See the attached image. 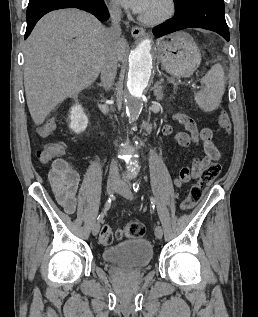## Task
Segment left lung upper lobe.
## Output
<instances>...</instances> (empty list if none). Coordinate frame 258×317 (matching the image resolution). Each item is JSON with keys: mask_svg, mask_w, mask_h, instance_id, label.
<instances>
[{"mask_svg": "<svg viewBox=\"0 0 258 317\" xmlns=\"http://www.w3.org/2000/svg\"><path fill=\"white\" fill-rule=\"evenodd\" d=\"M175 1V9H181L184 4H186L190 0H174Z\"/></svg>", "mask_w": 258, "mask_h": 317, "instance_id": "5c2ea615", "label": "left lung upper lobe"}]
</instances>
